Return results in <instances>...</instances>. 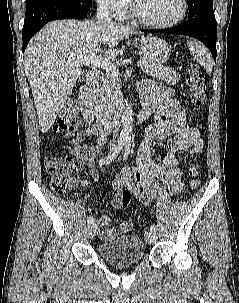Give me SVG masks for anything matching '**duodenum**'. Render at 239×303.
I'll return each instance as SVG.
<instances>
[{
    "instance_id": "obj_1",
    "label": "duodenum",
    "mask_w": 239,
    "mask_h": 303,
    "mask_svg": "<svg viewBox=\"0 0 239 303\" xmlns=\"http://www.w3.org/2000/svg\"><path fill=\"white\" fill-rule=\"evenodd\" d=\"M97 72H90L83 82L78 97L79 107L84 120L92 124L95 131L101 135H107L116 131L120 127L123 113L110 111L106 114L96 115L92 108L93 93L98 83ZM151 114V109L143 106L136 114V122H143Z\"/></svg>"
}]
</instances>
